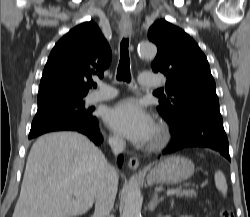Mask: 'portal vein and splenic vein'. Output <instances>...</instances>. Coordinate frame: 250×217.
<instances>
[{
    "mask_svg": "<svg viewBox=\"0 0 250 217\" xmlns=\"http://www.w3.org/2000/svg\"><path fill=\"white\" fill-rule=\"evenodd\" d=\"M177 191L176 190H168L167 195H174Z\"/></svg>",
    "mask_w": 250,
    "mask_h": 217,
    "instance_id": "18ae733b",
    "label": "portal vein and splenic vein"
}]
</instances>
